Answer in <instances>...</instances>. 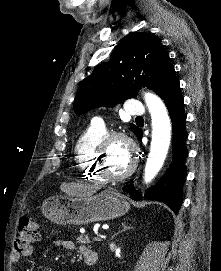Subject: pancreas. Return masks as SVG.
<instances>
[{"label":"pancreas","instance_id":"cf45deb5","mask_svg":"<svg viewBox=\"0 0 221 271\" xmlns=\"http://www.w3.org/2000/svg\"><path fill=\"white\" fill-rule=\"evenodd\" d=\"M77 242H81V244H95V239H88V237H77Z\"/></svg>","mask_w":221,"mask_h":271}]
</instances>
